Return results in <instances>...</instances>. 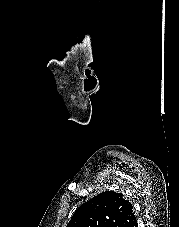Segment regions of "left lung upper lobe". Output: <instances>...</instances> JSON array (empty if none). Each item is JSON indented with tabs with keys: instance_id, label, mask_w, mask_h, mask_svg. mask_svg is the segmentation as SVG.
I'll list each match as a JSON object with an SVG mask.
<instances>
[{
	"instance_id": "1",
	"label": "left lung upper lobe",
	"mask_w": 179,
	"mask_h": 227,
	"mask_svg": "<svg viewBox=\"0 0 179 227\" xmlns=\"http://www.w3.org/2000/svg\"><path fill=\"white\" fill-rule=\"evenodd\" d=\"M132 204L121 193L105 191L83 203L66 227H136Z\"/></svg>"
}]
</instances>
